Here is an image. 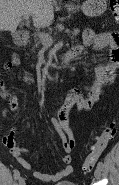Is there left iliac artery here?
Here are the masks:
<instances>
[{"mask_svg":"<svg viewBox=\"0 0 119 185\" xmlns=\"http://www.w3.org/2000/svg\"><path fill=\"white\" fill-rule=\"evenodd\" d=\"M97 167H99V168L103 169L104 164L100 161V162H98Z\"/></svg>","mask_w":119,"mask_h":185,"instance_id":"44dca946","label":"left iliac artery"}]
</instances>
